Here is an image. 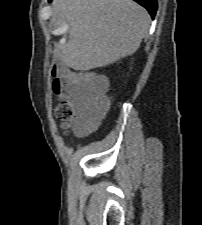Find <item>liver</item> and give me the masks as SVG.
I'll use <instances>...</instances> for the list:
<instances>
[{"label": "liver", "instance_id": "6515ba94", "mask_svg": "<svg viewBox=\"0 0 202 225\" xmlns=\"http://www.w3.org/2000/svg\"><path fill=\"white\" fill-rule=\"evenodd\" d=\"M53 10L69 25L61 58L86 71L132 55L147 35L150 16L133 0H55Z\"/></svg>", "mask_w": 202, "mask_h": 225}]
</instances>
